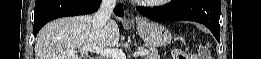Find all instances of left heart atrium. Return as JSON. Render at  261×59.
I'll use <instances>...</instances> for the list:
<instances>
[{
	"instance_id": "left-heart-atrium-1",
	"label": "left heart atrium",
	"mask_w": 261,
	"mask_h": 59,
	"mask_svg": "<svg viewBox=\"0 0 261 59\" xmlns=\"http://www.w3.org/2000/svg\"><path fill=\"white\" fill-rule=\"evenodd\" d=\"M140 3H158L161 1H154V0H137Z\"/></svg>"
}]
</instances>
